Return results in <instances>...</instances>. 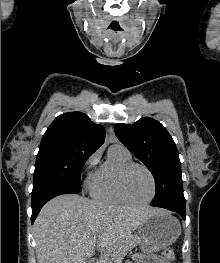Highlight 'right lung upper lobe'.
Segmentation results:
<instances>
[{
	"label": "right lung upper lobe",
	"instance_id": "obj_1",
	"mask_svg": "<svg viewBox=\"0 0 220 263\" xmlns=\"http://www.w3.org/2000/svg\"><path fill=\"white\" fill-rule=\"evenodd\" d=\"M105 140V130L81 112L59 115L43 135L39 152L70 149L95 152Z\"/></svg>",
	"mask_w": 220,
	"mask_h": 263
}]
</instances>
